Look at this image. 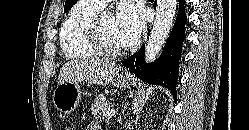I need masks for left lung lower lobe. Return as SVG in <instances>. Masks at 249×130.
Returning a JSON list of instances; mask_svg holds the SVG:
<instances>
[{
	"mask_svg": "<svg viewBox=\"0 0 249 130\" xmlns=\"http://www.w3.org/2000/svg\"><path fill=\"white\" fill-rule=\"evenodd\" d=\"M185 0H179V10L172 32L161 56L153 63L146 64L143 45L141 49L123 62L136 77L151 85H161L171 90L176 101V83L179 74V60L185 39Z\"/></svg>",
	"mask_w": 249,
	"mask_h": 130,
	"instance_id": "0a47b994",
	"label": "left lung lower lobe"
}]
</instances>
